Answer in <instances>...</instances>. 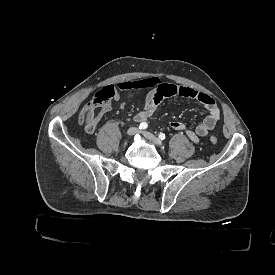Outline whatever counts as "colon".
Instances as JSON below:
<instances>
[{"instance_id":"obj_1","label":"colon","mask_w":275,"mask_h":275,"mask_svg":"<svg viewBox=\"0 0 275 275\" xmlns=\"http://www.w3.org/2000/svg\"><path fill=\"white\" fill-rule=\"evenodd\" d=\"M108 106H109L108 100L95 99L94 103L91 106L85 108L80 113L79 123L83 126H86L87 125L86 120H89V121L98 120L100 117L103 116ZM209 141L211 144H216L218 142V137L215 135H212L210 136Z\"/></svg>"}]
</instances>
